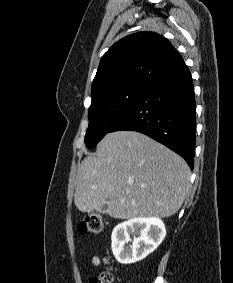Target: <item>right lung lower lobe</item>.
Here are the masks:
<instances>
[{"label":"right lung lower lobe","instance_id":"1","mask_svg":"<svg viewBox=\"0 0 233 283\" xmlns=\"http://www.w3.org/2000/svg\"><path fill=\"white\" fill-rule=\"evenodd\" d=\"M196 103L184 61L154 78L126 114L111 128L138 131L194 163Z\"/></svg>","mask_w":233,"mask_h":283}]
</instances>
